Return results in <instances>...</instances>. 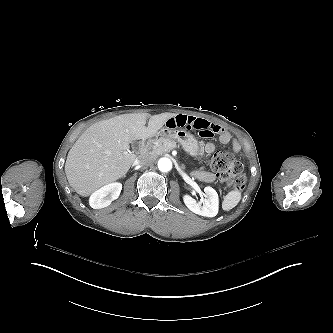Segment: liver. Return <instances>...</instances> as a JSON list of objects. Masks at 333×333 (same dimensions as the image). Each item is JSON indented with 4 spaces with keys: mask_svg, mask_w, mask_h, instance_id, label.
Returning <instances> with one entry per match:
<instances>
[{
    "mask_svg": "<svg viewBox=\"0 0 333 333\" xmlns=\"http://www.w3.org/2000/svg\"><path fill=\"white\" fill-rule=\"evenodd\" d=\"M176 116L171 112L128 113L92 124L68 152L64 171L69 185L77 194L89 197L124 177L138 159L129 152V143L158 136L166 122Z\"/></svg>",
    "mask_w": 333,
    "mask_h": 333,
    "instance_id": "6515ba94",
    "label": "liver"
}]
</instances>
